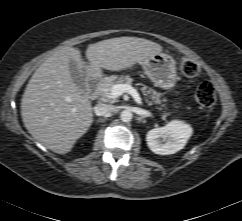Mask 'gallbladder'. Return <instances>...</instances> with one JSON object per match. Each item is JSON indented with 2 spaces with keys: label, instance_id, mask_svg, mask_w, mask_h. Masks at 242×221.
<instances>
[{
  "label": "gallbladder",
  "instance_id": "gallbladder-1",
  "mask_svg": "<svg viewBox=\"0 0 242 221\" xmlns=\"http://www.w3.org/2000/svg\"><path fill=\"white\" fill-rule=\"evenodd\" d=\"M69 70L70 75L75 84L77 85L78 89L81 91V93H85L86 91V83L82 77L81 72L78 70L77 63L73 60H70L69 63Z\"/></svg>",
  "mask_w": 242,
  "mask_h": 221
}]
</instances>
